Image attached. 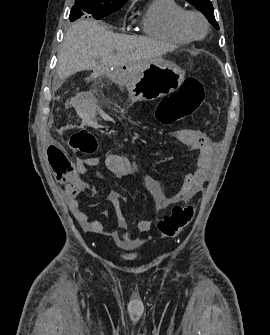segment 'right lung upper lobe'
I'll return each instance as SVG.
<instances>
[{
    "instance_id": "cb5924a9",
    "label": "right lung upper lobe",
    "mask_w": 270,
    "mask_h": 335,
    "mask_svg": "<svg viewBox=\"0 0 270 335\" xmlns=\"http://www.w3.org/2000/svg\"><path fill=\"white\" fill-rule=\"evenodd\" d=\"M100 1H103L106 3H124L125 4L127 0H100Z\"/></svg>"
}]
</instances>
